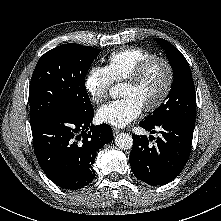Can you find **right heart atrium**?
I'll return each instance as SVG.
<instances>
[{
    "mask_svg": "<svg viewBox=\"0 0 221 221\" xmlns=\"http://www.w3.org/2000/svg\"><path fill=\"white\" fill-rule=\"evenodd\" d=\"M112 82L107 66L94 65L86 75L84 87L92 102L101 104L106 100Z\"/></svg>",
    "mask_w": 221,
    "mask_h": 221,
    "instance_id": "1",
    "label": "right heart atrium"
}]
</instances>
